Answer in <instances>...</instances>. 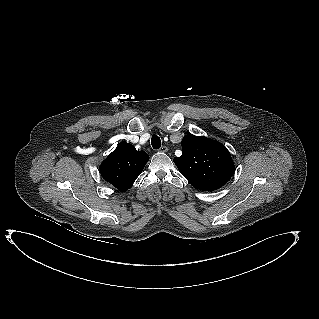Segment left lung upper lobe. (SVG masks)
Wrapping results in <instances>:
<instances>
[{"mask_svg": "<svg viewBox=\"0 0 319 319\" xmlns=\"http://www.w3.org/2000/svg\"><path fill=\"white\" fill-rule=\"evenodd\" d=\"M181 145L182 155L173 161L194 188L214 191L231 179L234 163L229 151L221 143L188 134Z\"/></svg>", "mask_w": 319, "mask_h": 319, "instance_id": "5c2ea615", "label": "left lung upper lobe"}]
</instances>
